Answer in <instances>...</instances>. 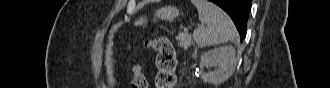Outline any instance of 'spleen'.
<instances>
[{
	"label": "spleen",
	"mask_w": 330,
	"mask_h": 88,
	"mask_svg": "<svg viewBox=\"0 0 330 88\" xmlns=\"http://www.w3.org/2000/svg\"><path fill=\"white\" fill-rule=\"evenodd\" d=\"M202 24L193 32V39L200 47L236 41L238 34L230 17L217 5L207 0H192Z\"/></svg>",
	"instance_id": "1"
}]
</instances>
